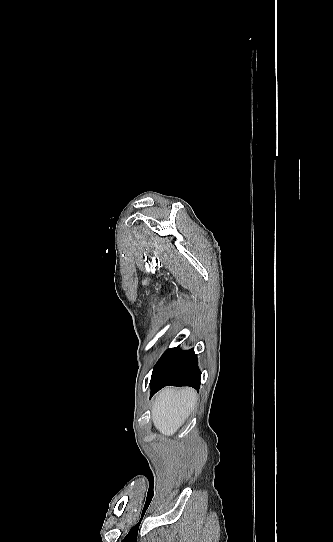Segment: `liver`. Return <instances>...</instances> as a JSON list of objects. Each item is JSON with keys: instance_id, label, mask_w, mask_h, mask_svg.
I'll use <instances>...</instances> for the list:
<instances>
[{"instance_id": "obj_1", "label": "liver", "mask_w": 333, "mask_h": 542, "mask_svg": "<svg viewBox=\"0 0 333 542\" xmlns=\"http://www.w3.org/2000/svg\"><path fill=\"white\" fill-rule=\"evenodd\" d=\"M196 404V392L192 388H164L152 406V420L156 430L163 436H173L189 418Z\"/></svg>"}]
</instances>
